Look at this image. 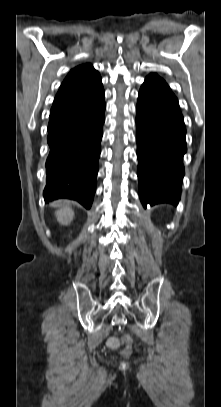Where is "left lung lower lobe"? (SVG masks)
<instances>
[{
    "label": "left lung lower lobe",
    "mask_w": 221,
    "mask_h": 407,
    "mask_svg": "<svg viewBox=\"0 0 221 407\" xmlns=\"http://www.w3.org/2000/svg\"><path fill=\"white\" fill-rule=\"evenodd\" d=\"M136 112L140 200L145 208L177 205L187 151L178 100L162 78L148 76L140 88Z\"/></svg>",
    "instance_id": "left-lung-lower-lobe-1"
}]
</instances>
